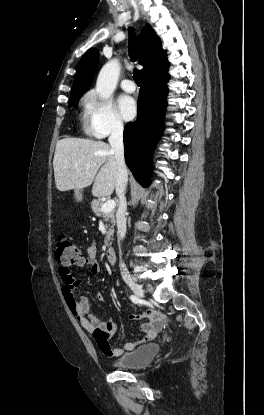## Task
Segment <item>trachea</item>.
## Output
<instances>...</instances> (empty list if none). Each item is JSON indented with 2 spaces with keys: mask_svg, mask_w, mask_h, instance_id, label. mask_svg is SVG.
<instances>
[{
  "mask_svg": "<svg viewBox=\"0 0 264 415\" xmlns=\"http://www.w3.org/2000/svg\"><path fill=\"white\" fill-rule=\"evenodd\" d=\"M128 32H129V46H128L129 47V49H128L129 57H130V60L132 62H135L137 60L136 35H135V32H134L132 27L128 28ZM133 78H134L136 84L138 86H140L141 85V74H140L139 70H134L133 71Z\"/></svg>",
  "mask_w": 264,
  "mask_h": 415,
  "instance_id": "obj_1",
  "label": "trachea"
}]
</instances>
